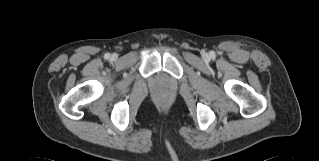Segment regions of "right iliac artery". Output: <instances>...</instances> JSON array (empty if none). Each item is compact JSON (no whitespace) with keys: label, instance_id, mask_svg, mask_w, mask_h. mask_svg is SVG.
<instances>
[{"label":"right iliac artery","instance_id":"obj_1","mask_svg":"<svg viewBox=\"0 0 319 161\" xmlns=\"http://www.w3.org/2000/svg\"><path fill=\"white\" fill-rule=\"evenodd\" d=\"M104 58L105 59H109L110 58V54L109 53H105Z\"/></svg>","mask_w":319,"mask_h":161}]
</instances>
